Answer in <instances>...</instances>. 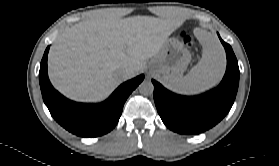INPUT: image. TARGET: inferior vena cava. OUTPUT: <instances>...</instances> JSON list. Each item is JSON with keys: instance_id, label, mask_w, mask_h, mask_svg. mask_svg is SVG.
<instances>
[{"instance_id": "1", "label": "inferior vena cava", "mask_w": 279, "mask_h": 166, "mask_svg": "<svg viewBox=\"0 0 279 166\" xmlns=\"http://www.w3.org/2000/svg\"><path fill=\"white\" fill-rule=\"evenodd\" d=\"M131 67H123L121 68V70L119 71V74L121 75L122 78H127L128 75L131 73Z\"/></svg>"}]
</instances>
